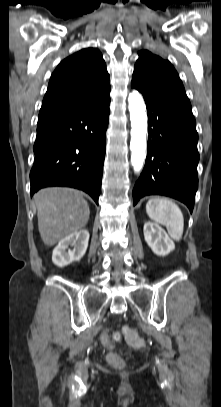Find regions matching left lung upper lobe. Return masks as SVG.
Segmentation results:
<instances>
[{
  "label": "left lung upper lobe",
  "mask_w": 221,
  "mask_h": 407,
  "mask_svg": "<svg viewBox=\"0 0 221 407\" xmlns=\"http://www.w3.org/2000/svg\"><path fill=\"white\" fill-rule=\"evenodd\" d=\"M131 86L147 96H163L173 93H185L184 86L176 70L167 60L147 50L139 53Z\"/></svg>",
  "instance_id": "obj_1"
}]
</instances>
